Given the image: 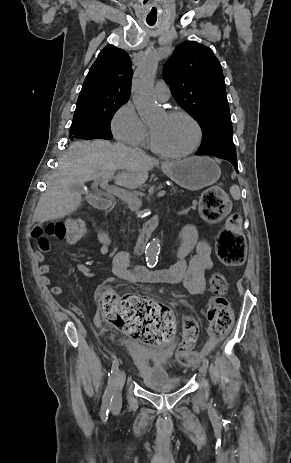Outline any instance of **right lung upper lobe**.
Here are the masks:
<instances>
[{"mask_svg": "<svg viewBox=\"0 0 291 463\" xmlns=\"http://www.w3.org/2000/svg\"><path fill=\"white\" fill-rule=\"evenodd\" d=\"M129 55L108 45L91 66L80 91L74 116L99 109L107 101L125 102L131 92Z\"/></svg>", "mask_w": 291, "mask_h": 463, "instance_id": "1", "label": "right lung upper lobe"}]
</instances>
